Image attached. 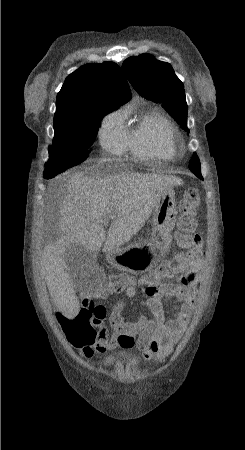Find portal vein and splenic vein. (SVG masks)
I'll return each mask as SVG.
<instances>
[{
	"label": "portal vein and splenic vein",
	"instance_id": "18ae733b",
	"mask_svg": "<svg viewBox=\"0 0 245 450\" xmlns=\"http://www.w3.org/2000/svg\"><path fill=\"white\" fill-rule=\"evenodd\" d=\"M109 218H113V216H110ZM101 222H105V220H102Z\"/></svg>",
	"mask_w": 245,
	"mask_h": 450
}]
</instances>
